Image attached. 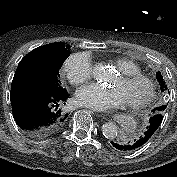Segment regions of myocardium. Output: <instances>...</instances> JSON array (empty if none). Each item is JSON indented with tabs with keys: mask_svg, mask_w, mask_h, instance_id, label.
Wrapping results in <instances>:
<instances>
[{
	"mask_svg": "<svg viewBox=\"0 0 177 177\" xmlns=\"http://www.w3.org/2000/svg\"><path fill=\"white\" fill-rule=\"evenodd\" d=\"M120 78L122 81L125 82H135V81L143 82L147 86L146 95L140 100L126 102L127 107L131 109H140L149 104L150 101L154 98L156 85L150 77L142 73H134V74H121Z\"/></svg>",
	"mask_w": 177,
	"mask_h": 177,
	"instance_id": "myocardium-1",
	"label": "myocardium"
}]
</instances>
